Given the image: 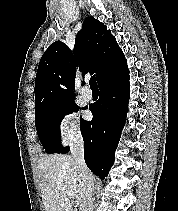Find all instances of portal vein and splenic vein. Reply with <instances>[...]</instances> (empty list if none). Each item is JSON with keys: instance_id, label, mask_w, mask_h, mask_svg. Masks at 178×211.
Instances as JSON below:
<instances>
[{"instance_id": "portal-vein-and-splenic-vein-1", "label": "portal vein and splenic vein", "mask_w": 178, "mask_h": 211, "mask_svg": "<svg viewBox=\"0 0 178 211\" xmlns=\"http://www.w3.org/2000/svg\"><path fill=\"white\" fill-rule=\"evenodd\" d=\"M67 196L69 197V198H74V194L72 193V192H67Z\"/></svg>"}]
</instances>
